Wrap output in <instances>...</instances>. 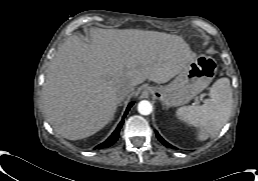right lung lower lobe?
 I'll return each instance as SVG.
<instances>
[{"label":"right lung lower lobe","mask_w":258,"mask_h":181,"mask_svg":"<svg viewBox=\"0 0 258 181\" xmlns=\"http://www.w3.org/2000/svg\"><path fill=\"white\" fill-rule=\"evenodd\" d=\"M134 104V102L130 103L125 111V114L123 116V118L126 116V114L128 113L130 107ZM124 123V120L122 119L121 122L119 123L118 127L116 128V130L112 133V135L103 143L97 145L95 148L96 149H102V148H108L110 147L112 144H114L119 136V131L122 127V124Z\"/></svg>","instance_id":"right-lung-lower-lobe-1"}]
</instances>
